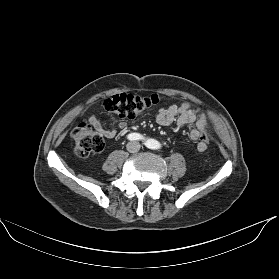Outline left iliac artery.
<instances>
[{
	"mask_svg": "<svg viewBox=\"0 0 279 279\" xmlns=\"http://www.w3.org/2000/svg\"><path fill=\"white\" fill-rule=\"evenodd\" d=\"M145 145H146L148 148L155 149L157 143H156L153 139H148V140L145 141Z\"/></svg>",
	"mask_w": 279,
	"mask_h": 279,
	"instance_id": "1",
	"label": "left iliac artery"
}]
</instances>
